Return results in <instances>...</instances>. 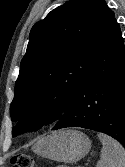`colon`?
<instances>
[{"label": "colon", "instance_id": "5ec220e1", "mask_svg": "<svg viewBox=\"0 0 125 167\" xmlns=\"http://www.w3.org/2000/svg\"><path fill=\"white\" fill-rule=\"evenodd\" d=\"M11 163L13 167H34V160L28 154H16L12 156Z\"/></svg>", "mask_w": 125, "mask_h": 167}]
</instances>
